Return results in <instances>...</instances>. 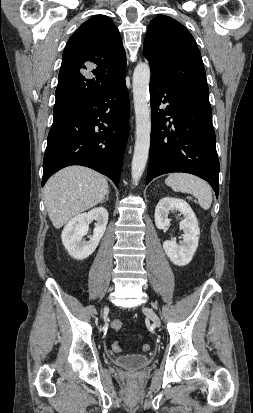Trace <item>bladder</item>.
Segmentation results:
<instances>
[{
	"instance_id": "bladder-1",
	"label": "bladder",
	"mask_w": 253,
	"mask_h": 413,
	"mask_svg": "<svg viewBox=\"0 0 253 413\" xmlns=\"http://www.w3.org/2000/svg\"><path fill=\"white\" fill-rule=\"evenodd\" d=\"M151 362V358L145 354H123L114 358V363L127 369H140Z\"/></svg>"
}]
</instances>
